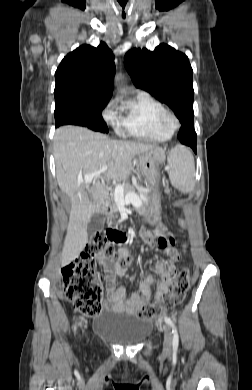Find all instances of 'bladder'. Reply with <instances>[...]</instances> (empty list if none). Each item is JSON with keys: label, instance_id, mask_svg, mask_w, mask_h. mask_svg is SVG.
I'll list each match as a JSON object with an SVG mask.
<instances>
[{"label": "bladder", "instance_id": "31cf9c89", "mask_svg": "<svg viewBox=\"0 0 252 390\" xmlns=\"http://www.w3.org/2000/svg\"><path fill=\"white\" fill-rule=\"evenodd\" d=\"M93 332L116 344L136 345L148 336L150 325L136 315L107 314L95 320Z\"/></svg>", "mask_w": 252, "mask_h": 390}]
</instances>
